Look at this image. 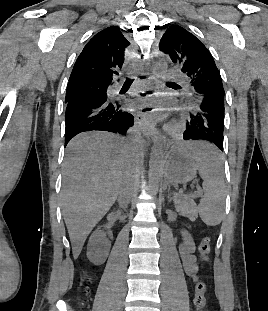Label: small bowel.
<instances>
[{
    "mask_svg": "<svg viewBox=\"0 0 268 311\" xmlns=\"http://www.w3.org/2000/svg\"><path fill=\"white\" fill-rule=\"evenodd\" d=\"M178 249L185 273L195 282L200 265L194 255L195 247L193 241L186 230L182 231Z\"/></svg>",
    "mask_w": 268,
    "mask_h": 311,
    "instance_id": "1",
    "label": "small bowel"
}]
</instances>
